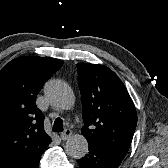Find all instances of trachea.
I'll list each match as a JSON object with an SVG mask.
<instances>
[{
    "mask_svg": "<svg viewBox=\"0 0 168 168\" xmlns=\"http://www.w3.org/2000/svg\"><path fill=\"white\" fill-rule=\"evenodd\" d=\"M64 129L63 120L61 118H56L53 124L54 132H62Z\"/></svg>",
    "mask_w": 168,
    "mask_h": 168,
    "instance_id": "obj_1",
    "label": "trachea"
}]
</instances>
